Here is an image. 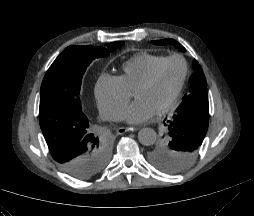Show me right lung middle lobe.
Here are the masks:
<instances>
[{"label": "right lung middle lobe", "mask_w": 254, "mask_h": 216, "mask_svg": "<svg viewBox=\"0 0 254 216\" xmlns=\"http://www.w3.org/2000/svg\"><path fill=\"white\" fill-rule=\"evenodd\" d=\"M124 42L118 41L109 44L107 48L93 46L67 47L52 63L41 85V94L51 90H59L78 96L84 72L88 66L97 58L106 57L110 52L121 47ZM94 136L98 139L99 150L97 159L100 170L107 163L110 156V145L96 129H92ZM74 170H79L75 165Z\"/></svg>", "instance_id": "dd1d6c3e"}]
</instances>
